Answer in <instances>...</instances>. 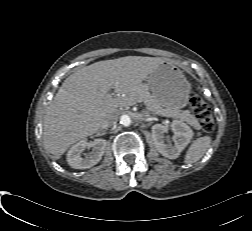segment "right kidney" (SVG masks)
Returning a JSON list of instances; mask_svg holds the SVG:
<instances>
[{
  "label": "right kidney",
  "mask_w": 252,
  "mask_h": 231,
  "mask_svg": "<svg viewBox=\"0 0 252 231\" xmlns=\"http://www.w3.org/2000/svg\"><path fill=\"white\" fill-rule=\"evenodd\" d=\"M107 142L104 139H95L87 142L81 140L73 145L67 153V162L70 166L76 169H87L96 165L102 158ZM92 151L84 153L86 148H91Z\"/></svg>",
  "instance_id": "ca27d5eb"
}]
</instances>
